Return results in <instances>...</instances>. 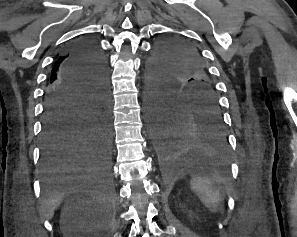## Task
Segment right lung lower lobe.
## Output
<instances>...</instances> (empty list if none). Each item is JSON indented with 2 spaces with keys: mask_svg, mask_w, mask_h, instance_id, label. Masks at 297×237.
Segmentation results:
<instances>
[{
  "mask_svg": "<svg viewBox=\"0 0 297 237\" xmlns=\"http://www.w3.org/2000/svg\"><path fill=\"white\" fill-rule=\"evenodd\" d=\"M63 80L45 91L41 165L47 176L111 169L110 96L107 67L96 42L75 41Z\"/></svg>",
  "mask_w": 297,
  "mask_h": 237,
  "instance_id": "right-lung-lower-lobe-1",
  "label": "right lung lower lobe"
}]
</instances>
